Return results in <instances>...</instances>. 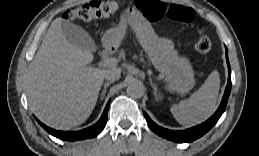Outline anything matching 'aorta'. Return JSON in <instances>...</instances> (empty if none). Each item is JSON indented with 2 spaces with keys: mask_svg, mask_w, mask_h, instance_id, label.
Returning a JSON list of instances; mask_svg holds the SVG:
<instances>
[{
  "mask_svg": "<svg viewBox=\"0 0 259 156\" xmlns=\"http://www.w3.org/2000/svg\"><path fill=\"white\" fill-rule=\"evenodd\" d=\"M127 94L133 98H141L144 95V86L137 80L131 81L127 86Z\"/></svg>",
  "mask_w": 259,
  "mask_h": 156,
  "instance_id": "obj_1",
  "label": "aorta"
}]
</instances>
